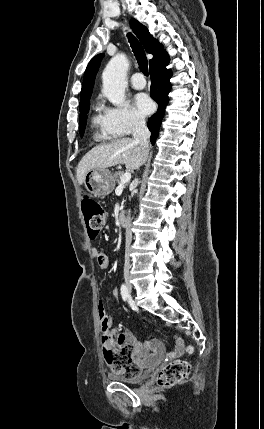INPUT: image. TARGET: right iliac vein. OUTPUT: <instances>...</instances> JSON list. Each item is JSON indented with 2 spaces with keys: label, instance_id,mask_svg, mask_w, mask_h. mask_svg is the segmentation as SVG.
Listing matches in <instances>:
<instances>
[{
  "label": "right iliac vein",
  "instance_id": "1",
  "mask_svg": "<svg viewBox=\"0 0 264 429\" xmlns=\"http://www.w3.org/2000/svg\"><path fill=\"white\" fill-rule=\"evenodd\" d=\"M124 279H125V283H126L127 290H128L129 292H131V291H132V285H131V283H130V276H129V273H128V272H125V273H124Z\"/></svg>",
  "mask_w": 264,
  "mask_h": 429
}]
</instances>
